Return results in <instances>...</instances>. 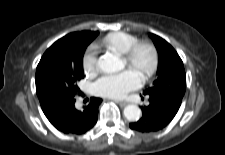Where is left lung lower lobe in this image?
<instances>
[{"mask_svg":"<svg viewBox=\"0 0 225 155\" xmlns=\"http://www.w3.org/2000/svg\"><path fill=\"white\" fill-rule=\"evenodd\" d=\"M182 98L179 95L150 96V104L142 107V118L130 123V128L139 132H155L165 128L178 112Z\"/></svg>","mask_w":225,"mask_h":155,"instance_id":"0a47b994","label":"left lung lower lobe"}]
</instances>
